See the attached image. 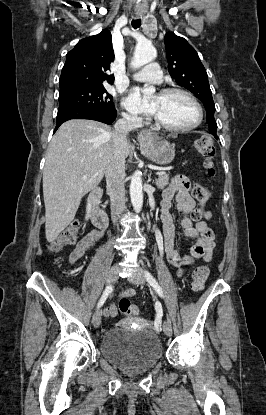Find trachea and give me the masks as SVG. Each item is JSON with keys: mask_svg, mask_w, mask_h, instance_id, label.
<instances>
[{"mask_svg": "<svg viewBox=\"0 0 266 415\" xmlns=\"http://www.w3.org/2000/svg\"><path fill=\"white\" fill-rule=\"evenodd\" d=\"M141 26V19H135V20H132V27L134 28V29H137V28H139Z\"/></svg>", "mask_w": 266, "mask_h": 415, "instance_id": "1", "label": "trachea"}]
</instances>
